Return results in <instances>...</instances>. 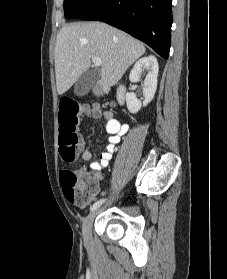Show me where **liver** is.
I'll return each mask as SVG.
<instances>
[{
    "instance_id": "liver-1",
    "label": "liver",
    "mask_w": 227,
    "mask_h": 279,
    "mask_svg": "<svg viewBox=\"0 0 227 279\" xmlns=\"http://www.w3.org/2000/svg\"><path fill=\"white\" fill-rule=\"evenodd\" d=\"M145 51L141 42L105 23L65 25L55 45L57 92L62 95L68 91L90 68L92 57L101 59L102 81L113 86Z\"/></svg>"
}]
</instances>
